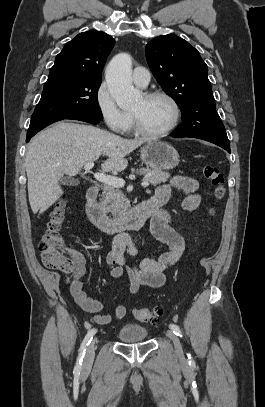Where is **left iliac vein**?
<instances>
[{
  "label": "left iliac vein",
  "instance_id": "1",
  "mask_svg": "<svg viewBox=\"0 0 265 407\" xmlns=\"http://www.w3.org/2000/svg\"><path fill=\"white\" fill-rule=\"evenodd\" d=\"M167 336L172 340L177 354L179 356H182L183 352H182V347H181L179 337L172 330L167 331Z\"/></svg>",
  "mask_w": 265,
  "mask_h": 407
}]
</instances>
